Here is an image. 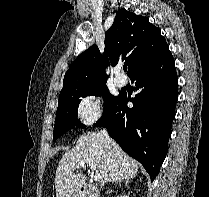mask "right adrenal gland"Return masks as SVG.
Masks as SVG:
<instances>
[{
	"label": "right adrenal gland",
	"instance_id": "obj_1",
	"mask_svg": "<svg viewBox=\"0 0 209 197\" xmlns=\"http://www.w3.org/2000/svg\"><path fill=\"white\" fill-rule=\"evenodd\" d=\"M119 181H120V180H119ZM116 183H118V182H116ZM125 183L127 184V183H128V180H126Z\"/></svg>",
	"mask_w": 209,
	"mask_h": 197
}]
</instances>
